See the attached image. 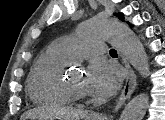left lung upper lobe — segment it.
<instances>
[{"mask_svg": "<svg viewBox=\"0 0 165 120\" xmlns=\"http://www.w3.org/2000/svg\"><path fill=\"white\" fill-rule=\"evenodd\" d=\"M118 16L120 17L121 20H123V14L119 13Z\"/></svg>", "mask_w": 165, "mask_h": 120, "instance_id": "5c2ea615", "label": "left lung upper lobe"}]
</instances>
